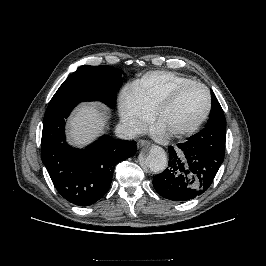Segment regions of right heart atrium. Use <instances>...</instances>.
<instances>
[{"label": "right heart atrium", "mask_w": 266, "mask_h": 266, "mask_svg": "<svg viewBox=\"0 0 266 266\" xmlns=\"http://www.w3.org/2000/svg\"><path fill=\"white\" fill-rule=\"evenodd\" d=\"M118 109L121 123L131 135L143 130L152 119V113L142 105L129 87L120 95Z\"/></svg>", "instance_id": "d8ad5b80"}]
</instances>
